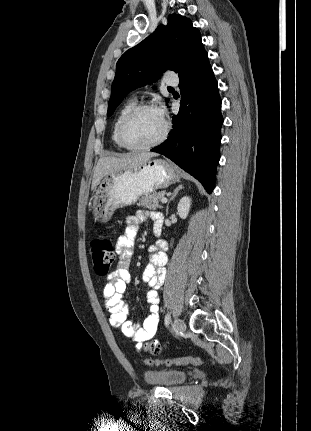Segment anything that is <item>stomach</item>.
Masks as SVG:
<instances>
[{
  "instance_id": "0dacf381",
  "label": "stomach",
  "mask_w": 311,
  "mask_h": 431,
  "mask_svg": "<svg viewBox=\"0 0 311 431\" xmlns=\"http://www.w3.org/2000/svg\"><path fill=\"white\" fill-rule=\"evenodd\" d=\"M180 180V172L167 160H149L138 170H120L100 182L92 200L94 221L107 223L118 208L134 206L141 196L165 190Z\"/></svg>"
}]
</instances>
